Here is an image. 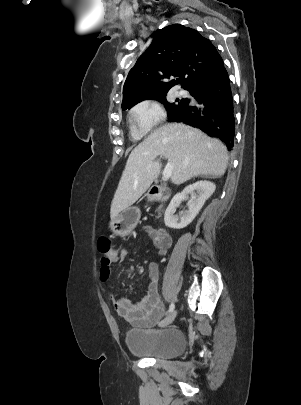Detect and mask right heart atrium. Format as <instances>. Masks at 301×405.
Listing matches in <instances>:
<instances>
[{
	"mask_svg": "<svg viewBox=\"0 0 301 405\" xmlns=\"http://www.w3.org/2000/svg\"><path fill=\"white\" fill-rule=\"evenodd\" d=\"M165 118L161 105L154 100L138 102L130 110V119L135 130L141 134L149 132Z\"/></svg>",
	"mask_w": 301,
	"mask_h": 405,
	"instance_id": "d8ad5b80",
	"label": "right heart atrium"
}]
</instances>
